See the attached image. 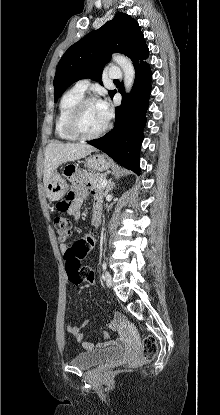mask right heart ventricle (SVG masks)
Listing matches in <instances>:
<instances>
[{
    "instance_id": "e07e8e85",
    "label": "right heart ventricle",
    "mask_w": 220,
    "mask_h": 415,
    "mask_svg": "<svg viewBox=\"0 0 220 415\" xmlns=\"http://www.w3.org/2000/svg\"><path fill=\"white\" fill-rule=\"evenodd\" d=\"M83 97L84 93L79 92L74 88L64 93L61 97L55 119V134L58 138L68 141L76 140V138L67 131L65 122L70 110L76 103L83 99Z\"/></svg>"
}]
</instances>
